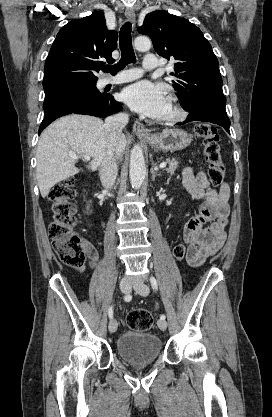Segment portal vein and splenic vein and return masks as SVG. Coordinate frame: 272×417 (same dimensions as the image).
I'll use <instances>...</instances> for the list:
<instances>
[{"instance_id":"18ae733b","label":"portal vein and splenic vein","mask_w":272,"mask_h":417,"mask_svg":"<svg viewBox=\"0 0 272 417\" xmlns=\"http://www.w3.org/2000/svg\"><path fill=\"white\" fill-rule=\"evenodd\" d=\"M69 155H70V157L71 158H73V159H78L79 157H82V158H84L86 161H89L90 160V157L89 156H87V155H82V156H79V155H77V154H75V153H73V152H70L69 153ZM166 167V162H162L160 165H159V168H165Z\"/></svg>"}]
</instances>
